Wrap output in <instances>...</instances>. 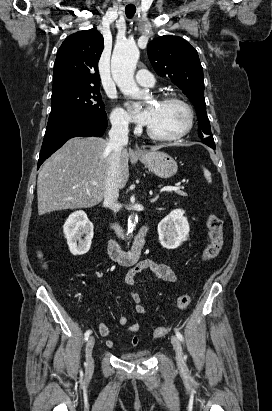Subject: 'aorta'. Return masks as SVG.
<instances>
[{"label": "aorta", "mask_w": 272, "mask_h": 411, "mask_svg": "<svg viewBox=\"0 0 272 411\" xmlns=\"http://www.w3.org/2000/svg\"><path fill=\"white\" fill-rule=\"evenodd\" d=\"M139 59V50L134 42H124L114 48L111 59V72L114 81L123 94L141 99L143 92L134 80V71ZM134 229L133 217L128 219L127 235Z\"/></svg>", "instance_id": "762f6f07"}]
</instances>
